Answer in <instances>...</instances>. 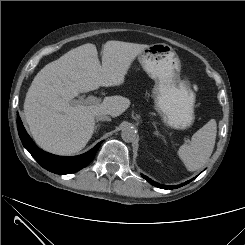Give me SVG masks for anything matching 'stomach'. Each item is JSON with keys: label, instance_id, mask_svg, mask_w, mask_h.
I'll return each mask as SVG.
<instances>
[{"label": "stomach", "instance_id": "stomach-1", "mask_svg": "<svg viewBox=\"0 0 245 245\" xmlns=\"http://www.w3.org/2000/svg\"><path fill=\"white\" fill-rule=\"evenodd\" d=\"M137 59L155 81L156 110L174 129H185L194 122L195 95L179 78L181 63L174 49L165 43L148 45Z\"/></svg>", "mask_w": 245, "mask_h": 245}]
</instances>
